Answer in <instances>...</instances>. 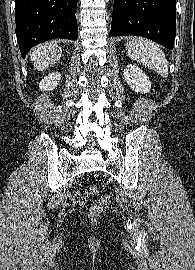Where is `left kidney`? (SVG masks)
Segmentation results:
<instances>
[{"mask_svg": "<svg viewBox=\"0 0 195 270\" xmlns=\"http://www.w3.org/2000/svg\"><path fill=\"white\" fill-rule=\"evenodd\" d=\"M124 77L133 90L144 93L149 92L151 82L140 68L132 64L127 65L124 69Z\"/></svg>", "mask_w": 195, "mask_h": 270, "instance_id": "5707ae66", "label": "left kidney"}]
</instances>
